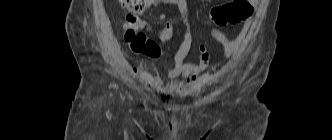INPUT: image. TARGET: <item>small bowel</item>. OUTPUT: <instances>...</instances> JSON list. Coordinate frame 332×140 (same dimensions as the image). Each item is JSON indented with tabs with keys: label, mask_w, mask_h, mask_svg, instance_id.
<instances>
[{
	"label": "small bowel",
	"mask_w": 332,
	"mask_h": 140,
	"mask_svg": "<svg viewBox=\"0 0 332 140\" xmlns=\"http://www.w3.org/2000/svg\"><path fill=\"white\" fill-rule=\"evenodd\" d=\"M154 1L159 5L176 6L181 13L185 25V32L179 47L173 54L174 67L167 74V82H165L159 75L149 73L146 75V83L163 95L182 94L184 92L183 84L185 82H189L205 72L210 60V55L207 48L204 45H201L199 63L192 64L185 62L193 42V35L190 28V14L186 0ZM249 28L250 21L247 20L244 23L240 33L234 39L227 38L226 35L216 29H211L210 35L223 47V56L226 60H228L243 43ZM158 38L163 42L169 40L164 38L160 33H158Z\"/></svg>",
	"instance_id": "small-bowel-1"
}]
</instances>
